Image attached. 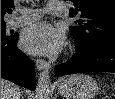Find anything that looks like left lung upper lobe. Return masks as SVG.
Segmentation results:
<instances>
[{"instance_id": "1", "label": "left lung upper lobe", "mask_w": 115, "mask_h": 99, "mask_svg": "<svg viewBox=\"0 0 115 99\" xmlns=\"http://www.w3.org/2000/svg\"><path fill=\"white\" fill-rule=\"evenodd\" d=\"M70 17H79L70 31L77 51L115 44V0H71Z\"/></svg>"}]
</instances>
